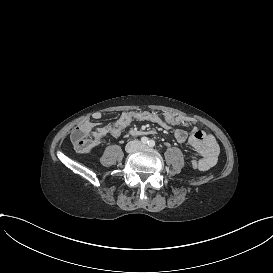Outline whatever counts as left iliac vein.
Masks as SVG:
<instances>
[{
    "label": "left iliac vein",
    "mask_w": 273,
    "mask_h": 273,
    "mask_svg": "<svg viewBox=\"0 0 273 273\" xmlns=\"http://www.w3.org/2000/svg\"><path fill=\"white\" fill-rule=\"evenodd\" d=\"M144 147H146V145L141 144V145L139 146V148H144Z\"/></svg>",
    "instance_id": "4c4485c4"
}]
</instances>
